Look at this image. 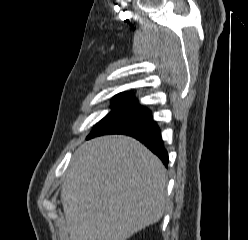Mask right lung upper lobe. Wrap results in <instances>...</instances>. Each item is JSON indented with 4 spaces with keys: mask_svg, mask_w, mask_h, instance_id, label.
Returning a JSON list of instances; mask_svg holds the SVG:
<instances>
[{
    "mask_svg": "<svg viewBox=\"0 0 248 240\" xmlns=\"http://www.w3.org/2000/svg\"><path fill=\"white\" fill-rule=\"evenodd\" d=\"M119 96H124V97H132L131 93L130 92H123V93H120L118 94Z\"/></svg>",
    "mask_w": 248,
    "mask_h": 240,
    "instance_id": "1",
    "label": "right lung upper lobe"
}]
</instances>
